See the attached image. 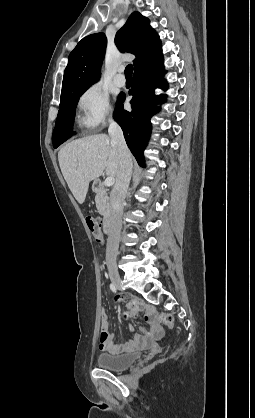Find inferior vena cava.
<instances>
[{
    "mask_svg": "<svg viewBox=\"0 0 255 418\" xmlns=\"http://www.w3.org/2000/svg\"><path fill=\"white\" fill-rule=\"evenodd\" d=\"M108 133L119 155V167L116 175V182L111 193V214L110 225L106 246V260L114 261L118 254L119 238L122 228L123 201L132 175L131 153L126 145L121 127L110 120Z\"/></svg>",
    "mask_w": 255,
    "mask_h": 418,
    "instance_id": "1",
    "label": "inferior vena cava"
}]
</instances>
